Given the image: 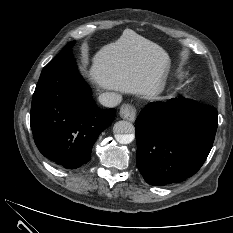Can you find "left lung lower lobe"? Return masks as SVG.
<instances>
[{"label": "left lung lower lobe", "instance_id": "0a47b994", "mask_svg": "<svg viewBox=\"0 0 233 233\" xmlns=\"http://www.w3.org/2000/svg\"><path fill=\"white\" fill-rule=\"evenodd\" d=\"M218 112L183 98L149 103L137 117V167L145 181L163 186L194 175L214 142Z\"/></svg>", "mask_w": 233, "mask_h": 233}]
</instances>
